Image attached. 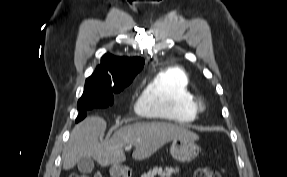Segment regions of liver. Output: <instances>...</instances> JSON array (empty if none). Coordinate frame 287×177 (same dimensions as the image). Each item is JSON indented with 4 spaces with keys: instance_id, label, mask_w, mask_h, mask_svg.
I'll use <instances>...</instances> for the list:
<instances>
[{
    "instance_id": "6515ba94",
    "label": "liver",
    "mask_w": 287,
    "mask_h": 177,
    "mask_svg": "<svg viewBox=\"0 0 287 177\" xmlns=\"http://www.w3.org/2000/svg\"><path fill=\"white\" fill-rule=\"evenodd\" d=\"M106 130L103 118L91 116L77 124L70 135L63 154L64 170H70L83 157L95 159L101 166L119 164L126 160L123 148L133 145L135 160L149 158L169 141L179 138L198 139L187 128L167 122H137L118 129L106 141H100Z\"/></svg>"
}]
</instances>
